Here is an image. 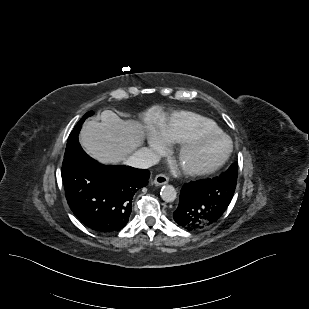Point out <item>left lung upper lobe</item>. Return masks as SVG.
Returning <instances> with one entry per match:
<instances>
[{
    "label": "left lung upper lobe",
    "instance_id": "obj_1",
    "mask_svg": "<svg viewBox=\"0 0 309 309\" xmlns=\"http://www.w3.org/2000/svg\"><path fill=\"white\" fill-rule=\"evenodd\" d=\"M237 173H238V164L237 162L233 163L229 169L222 173L219 178H228L233 181H237Z\"/></svg>",
    "mask_w": 309,
    "mask_h": 309
}]
</instances>
